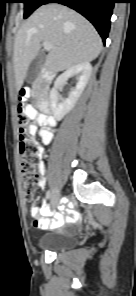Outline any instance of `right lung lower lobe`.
Masks as SVG:
<instances>
[{
    "mask_svg": "<svg viewBox=\"0 0 136 296\" xmlns=\"http://www.w3.org/2000/svg\"><path fill=\"white\" fill-rule=\"evenodd\" d=\"M60 3L86 17L106 42L110 29V18L116 0H45L43 4Z\"/></svg>",
    "mask_w": 136,
    "mask_h": 296,
    "instance_id": "98d812e1",
    "label": "right lung lower lobe"
}]
</instances>
